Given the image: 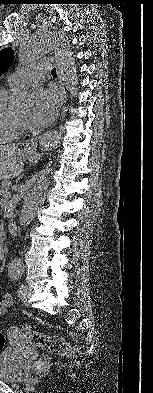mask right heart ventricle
I'll return each mask as SVG.
<instances>
[{"instance_id":"right-heart-ventricle-1","label":"right heart ventricle","mask_w":153,"mask_h":393,"mask_svg":"<svg viewBox=\"0 0 153 393\" xmlns=\"http://www.w3.org/2000/svg\"><path fill=\"white\" fill-rule=\"evenodd\" d=\"M8 91L0 90V144L14 141L23 131V126L17 121L7 107Z\"/></svg>"}]
</instances>
